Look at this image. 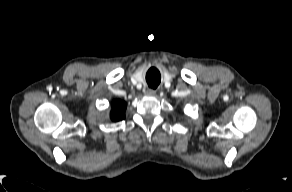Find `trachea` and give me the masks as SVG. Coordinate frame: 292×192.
Masks as SVG:
<instances>
[{
  "instance_id": "trachea-1",
  "label": "trachea",
  "mask_w": 292,
  "mask_h": 192,
  "mask_svg": "<svg viewBox=\"0 0 292 192\" xmlns=\"http://www.w3.org/2000/svg\"><path fill=\"white\" fill-rule=\"evenodd\" d=\"M153 69H151L146 75V81L148 86L152 89H155L160 83V75H155L151 73Z\"/></svg>"
}]
</instances>
